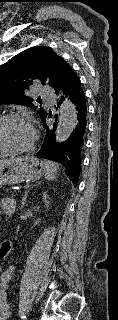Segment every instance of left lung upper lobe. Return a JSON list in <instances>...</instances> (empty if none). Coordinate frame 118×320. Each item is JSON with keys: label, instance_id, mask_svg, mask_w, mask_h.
<instances>
[{"label": "left lung upper lobe", "instance_id": "5c2ea615", "mask_svg": "<svg viewBox=\"0 0 118 320\" xmlns=\"http://www.w3.org/2000/svg\"><path fill=\"white\" fill-rule=\"evenodd\" d=\"M72 72L71 66L50 47L26 49L0 66V103L27 105L43 118L47 112L32 103L26 90L38 80L57 92Z\"/></svg>", "mask_w": 118, "mask_h": 320}]
</instances>
